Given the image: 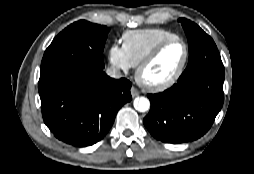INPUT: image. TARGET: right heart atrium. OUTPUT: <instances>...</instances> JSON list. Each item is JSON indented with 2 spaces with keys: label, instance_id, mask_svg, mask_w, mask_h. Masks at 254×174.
<instances>
[{
  "label": "right heart atrium",
  "instance_id": "d8ad5b80",
  "mask_svg": "<svg viewBox=\"0 0 254 174\" xmlns=\"http://www.w3.org/2000/svg\"><path fill=\"white\" fill-rule=\"evenodd\" d=\"M108 61L111 66L119 71L127 73L133 67L121 45L113 43L108 49Z\"/></svg>",
  "mask_w": 254,
  "mask_h": 174
}]
</instances>
